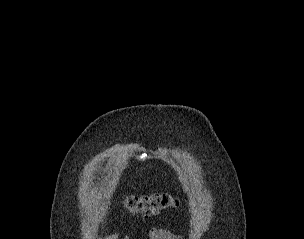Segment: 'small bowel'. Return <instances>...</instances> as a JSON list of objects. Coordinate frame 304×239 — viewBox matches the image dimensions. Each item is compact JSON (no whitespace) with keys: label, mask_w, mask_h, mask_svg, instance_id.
Masks as SVG:
<instances>
[{"label":"small bowel","mask_w":304,"mask_h":239,"mask_svg":"<svg viewBox=\"0 0 304 239\" xmlns=\"http://www.w3.org/2000/svg\"><path fill=\"white\" fill-rule=\"evenodd\" d=\"M119 236V233L116 232L106 237V239H118ZM148 237L149 239H181L180 236L166 228L151 229L148 233ZM123 239H130V236L126 235Z\"/></svg>","instance_id":"obj_1"}]
</instances>
